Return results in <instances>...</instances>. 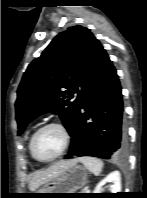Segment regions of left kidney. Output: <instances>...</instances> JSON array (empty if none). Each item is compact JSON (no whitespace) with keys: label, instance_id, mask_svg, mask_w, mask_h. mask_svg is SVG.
Returning <instances> with one entry per match:
<instances>
[{"label":"left kidney","instance_id":"left-kidney-1","mask_svg":"<svg viewBox=\"0 0 147 198\" xmlns=\"http://www.w3.org/2000/svg\"><path fill=\"white\" fill-rule=\"evenodd\" d=\"M107 183H113L110 187L111 193L121 192V176L119 171H114L98 183L93 193H102L103 187Z\"/></svg>","mask_w":147,"mask_h":198}]
</instances>
